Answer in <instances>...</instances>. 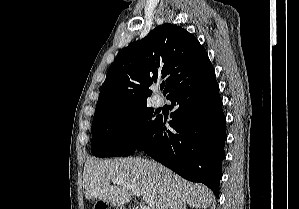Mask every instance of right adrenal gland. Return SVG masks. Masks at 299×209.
I'll return each mask as SVG.
<instances>
[{
	"label": "right adrenal gland",
	"instance_id": "1",
	"mask_svg": "<svg viewBox=\"0 0 299 209\" xmlns=\"http://www.w3.org/2000/svg\"><path fill=\"white\" fill-rule=\"evenodd\" d=\"M178 209H186V206H181Z\"/></svg>",
	"mask_w": 299,
	"mask_h": 209
}]
</instances>
